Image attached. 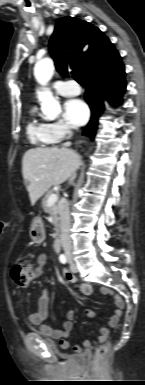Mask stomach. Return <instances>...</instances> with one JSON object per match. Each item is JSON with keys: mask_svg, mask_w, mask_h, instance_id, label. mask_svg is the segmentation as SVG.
Listing matches in <instances>:
<instances>
[{"mask_svg": "<svg viewBox=\"0 0 145 385\" xmlns=\"http://www.w3.org/2000/svg\"><path fill=\"white\" fill-rule=\"evenodd\" d=\"M29 235L33 243L40 244L44 241L45 230L41 219L36 218L33 220Z\"/></svg>", "mask_w": 145, "mask_h": 385, "instance_id": "1", "label": "stomach"}]
</instances>
